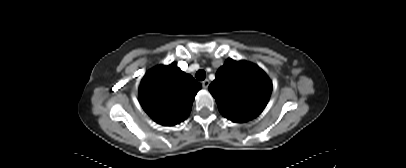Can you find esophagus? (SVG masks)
<instances>
[{
    "instance_id": "obj_1",
    "label": "esophagus",
    "mask_w": 406,
    "mask_h": 168,
    "mask_svg": "<svg viewBox=\"0 0 406 168\" xmlns=\"http://www.w3.org/2000/svg\"><path fill=\"white\" fill-rule=\"evenodd\" d=\"M209 84H210V82L208 79H205L204 81H202V86L204 89H207Z\"/></svg>"
}]
</instances>
